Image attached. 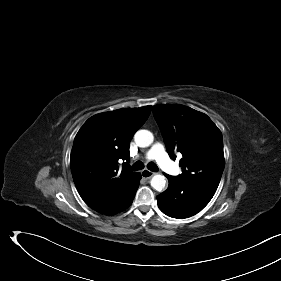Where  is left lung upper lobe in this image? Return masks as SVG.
Instances as JSON below:
<instances>
[{
  "instance_id": "left-lung-upper-lobe-1",
  "label": "left lung upper lobe",
  "mask_w": 281,
  "mask_h": 281,
  "mask_svg": "<svg viewBox=\"0 0 281 281\" xmlns=\"http://www.w3.org/2000/svg\"><path fill=\"white\" fill-rule=\"evenodd\" d=\"M154 117L172 159L180 152L181 180L194 181L216 192L225 160L222 134L204 113L183 105H156Z\"/></svg>"
}]
</instances>
